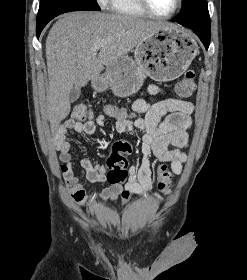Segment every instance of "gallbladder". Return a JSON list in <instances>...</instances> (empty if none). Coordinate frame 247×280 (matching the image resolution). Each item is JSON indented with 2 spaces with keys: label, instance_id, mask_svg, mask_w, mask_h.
<instances>
[{
  "label": "gallbladder",
  "instance_id": "gallbladder-1",
  "mask_svg": "<svg viewBox=\"0 0 247 280\" xmlns=\"http://www.w3.org/2000/svg\"><path fill=\"white\" fill-rule=\"evenodd\" d=\"M80 96V89L74 87L69 95L70 102H75Z\"/></svg>",
  "mask_w": 247,
  "mask_h": 280
}]
</instances>
